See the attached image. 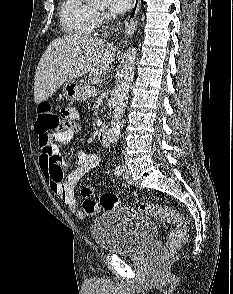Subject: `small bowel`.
Here are the masks:
<instances>
[{
	"instance_id": "1",
	"label": "small bowel",
	"mask_w": 233,
	"mask_h": 294,
	"mask_svg": "<svg viewBox=\"0 0 233 294\" xmlns=\"http://www.w3.org/2000/svg\"><path fill=\"white\" fill-rule=\"evenodd\" d=\"M62 113L63 121H60V129H66L56 134L55 141L61 144L69 143L74 134L79 131L78 119L79 111L73 108H64ZM53 154L54 156H46ZM70 161V162H69ZM100 163V156L96 153L78 151L75 156H62L56 144H52L51 149H42L40 156V167L47 179L51 190L77 217H92L100 209L98 203L92 199L94 195L93 187L82 189L84 202L82 209L77 208L75 198V188L79 180ZM64 168H73L68 174H64Z\"/></svg>"
}]
</instances>
